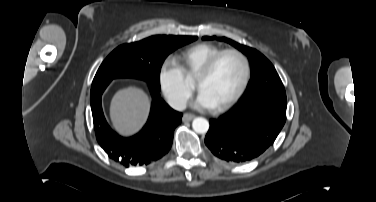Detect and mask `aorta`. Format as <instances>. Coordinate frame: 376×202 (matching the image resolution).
Here are the masks:
<instances>
[{
	"instance_id": "obj_1",
	"label": "aorta",
	"mask_w": 376,
	"mask_h": 202,
	"mask_svg": "<svg viewBox=\"0 0 376 202\" xmlns=\"http://www.w3.org/2000/svg\"><path fill=\"white\" fill-rule=\"evenodd\" d=\"M192 127L196 133L204 134L209 129V122L205 118L197 117L193 120Z\"/></svg>"
}]
</instances>
